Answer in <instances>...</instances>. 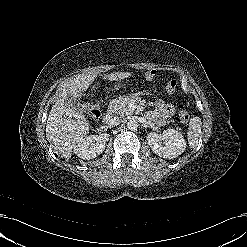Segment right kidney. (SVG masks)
<instances>
[{
  "label": "right kidney",
  "mask_w": 247,
  "mask_h": 247,
  "mask_svg": "<svg viewBox=\"0 0 247 247\" xmlns=\"http://www.w3.org/2000/svg\"><path fill=\"white\" fill-rule=\"evenodd\" d=\"M109 134L89 135L74 145V153L81 159L90 160L100 155L109 141Z\"/></svg>",
  "instance_id": "right-kidney-1"
}]
</instances>
